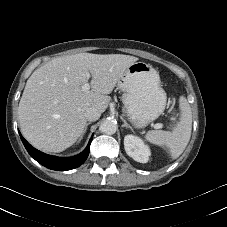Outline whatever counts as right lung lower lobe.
<instances>
[{
	"label": "right lung lower lobe",
	"mask_w": 227,
	"mask_h": 227,
	"mask_svg": "<svg viewBox=\"0 0 227 227\" xmlns=\"http://www.w3.org/2000/svg\"><path fill=\"white\" fill-rule=\"evenodd\" d=\"M20 137L21 140L30 154V156L35 159L39 164L51 169V170H58V171H66V170H71L74 169L81 164L85 162L89 155V150H90V144L92 139H90L86 149L74 156V157H69V158H63V157H57V156H51L47 155L45 153L40 152L39 150L33 148L22 136L21 133Z\"/></svg>",
	"instance_id": "obj_1"
}]
</instances>
